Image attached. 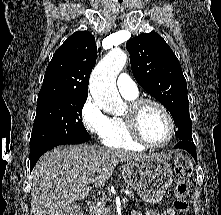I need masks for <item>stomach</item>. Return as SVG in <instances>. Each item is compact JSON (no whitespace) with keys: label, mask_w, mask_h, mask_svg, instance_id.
Listing matches in <instances>:
<instances>
[{"label":"stomach","mask_w":221,"mask_h":215,"mask_svg":"<svg viewBox=\"0 0 221 215\" xmlns=\"http://www.w3.org/2000/svg\"><path fill=\"white\" fill-rule=\"evenodd\" d=\"M124 181L146 202L162 200L173 183L170 164L158 154L129 160L122 168Z\"/></svg>","instance_id":"obj_1"}]
</instances>
